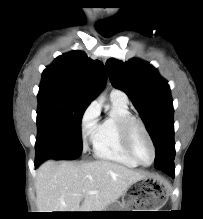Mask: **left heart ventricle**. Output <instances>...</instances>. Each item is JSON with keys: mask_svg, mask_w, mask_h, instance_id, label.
Instances as JSON below:
<instances>
[{"mask_svg": "<svg viewBox=\"0 0 203 219\" xmlns=\"http://www.w3.org/2000/svg\"><path fill=\"white\" fill-rule=\"evenodd\" d=\"M133 149L141 162L148 164L152 161L153 153L151 146L140 129H136L134 132Z\"/></svg>", "mask_w": 203, "mask_h": 219, "instance_id": "left-heart-ventricle-1", "label": "left heart ventricle"}]
</instances>
